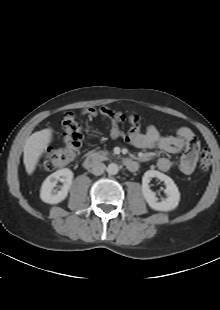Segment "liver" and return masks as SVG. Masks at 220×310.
Wrapping results in <instances>:
<instances>
[{"label":"liver","instance_id":"obj_1","mask_svg":"<svg viewBox=\"0 0 220 310\" xmlns=\"http://www.w3.org/2000/svg\"><path fill=\"white\" fill-rule=\"evenodd\" d=\"M52 133V129L46 128L33 133L26 140L23 147V162L28 175L36 169V165L52 140Z\"/></svg>","mask_w":220,"mask_h":310}]
</instances>
